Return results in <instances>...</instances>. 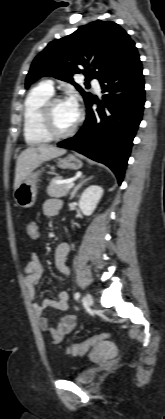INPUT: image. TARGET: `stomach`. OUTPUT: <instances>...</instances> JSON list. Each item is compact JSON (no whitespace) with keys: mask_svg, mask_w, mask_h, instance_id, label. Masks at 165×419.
I'll return each mask as SVG.
<instances>
[{"mask_svg":"<svg viewBox=\"0 0 165 419\" xmlns=\"http://www.w3.org/2000/svg\"><path fill=\"white\" fill-rule=\"evenodd\" d=\"M57 166L62 169L78 170L82 162L75 155L69 154L65 158H59ZM43 172V168L32 171L17 188L14 189V199L22 208L34 205L37 196V182Z\"/></svg>","mask_w":165,"mask_h":419,"instance_id":"stomach-1","label":"stomach"}]
</instances>
